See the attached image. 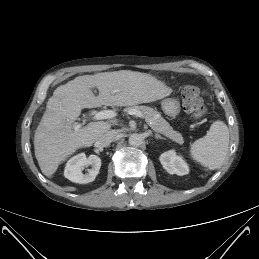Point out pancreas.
<instances>
[{
  "label": "pancreas",
  "mask_w": 259,
  "mask_h": 259,
  "mask_svg": "<svg viewBox=\"0 0 259 259\" xmlns=\"http://www.w3.org/2000/svg\"><path fill=\"white\" fill-rule=\"evenodd\" d=\"M140 111L148 125L157 133H161L172 141L182 145L184 143L181 133L175 131L170 124L161 117V114L148 106H132L126 109Z\"/></svg>",
  "instance_id": "1"
}]
</instances>
